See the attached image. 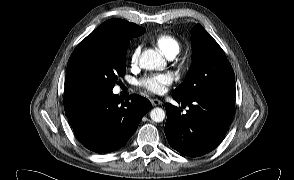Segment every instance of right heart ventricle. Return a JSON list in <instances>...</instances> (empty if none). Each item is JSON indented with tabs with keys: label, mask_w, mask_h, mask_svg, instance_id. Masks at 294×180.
Listing matches in <instances>:
<instances>
[{
	"label": "right heart ventricle",
	"mask_w": 294,
	"mask_h": 180,
	"mask_svg": "<svg viewBox=\"0 0 294 180\" xmlns=\"http://www.w3.org/2000/svg\"><path fill=\"white\" fill-rule=\"evenodd\" d=\"M153 43L166 56H176L181 49L179 41L172 35L161 34L153 39Z\"/></svg>",
	"instance_id": "obj_1"
}]
</instances>
